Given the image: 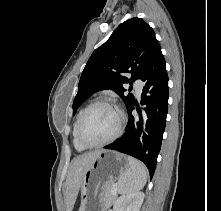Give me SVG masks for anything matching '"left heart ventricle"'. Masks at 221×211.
Listing matches in <instances>:
<instances>
[{
	"mask_svg": "<svg viewBox=\"0 0 221 211\" xmlns=\"http://www.w3.org/2000/svg\"><path fill=\"white\" fill-rule=\"evenodd\" d=\"M119 117L117 112L107 106H98L87 115L82 135L88 143H98L108 139L117 129Z\"/></svg>",
	"mask_w": 221,
	"mask_h": 211,
	"instance_id": "1",
	"label": "left heart ventricle"
}]
</instances>
